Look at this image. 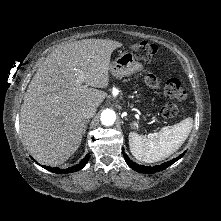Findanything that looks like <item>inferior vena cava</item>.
I'll return each instance as SVG.
<instances>
[{
	"label": "inferior vena cava",
	"mask_w": 221,
	"mask_h": 221,
	"mask_svg": "<svg viewBox=\"0 0 221 221\" xmlns=\"http://www.w3.org/2000/svg\"><path fill=\"white\" fill-rule=\"evenodd\" d=\"M96 113V106L94 104H87L82 109V115L84 118H91Z\"/></svg>",
	"instance_id": "1"
}]
</instances>
